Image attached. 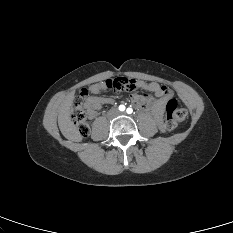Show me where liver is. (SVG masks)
Wrapping results in <instances>:
<instances>
[{
  "mask_svg": "<svg viewBox=\"0 0 233 233\" xmlns=\"http://www.w3.org/2000/svg\"><path fill=\"white\" fill-rule=\"evenodd\" d=\"M74 92L69 93L63 99L59 106V114H58V126L64 137L68 139H72L73 135L76 133V127L71 121V113L70 109L73 105L74 100Z\"/></svg>",
  "mask_w": 233,
  "mask_h": 233,
  "instance_id": "liver-1",
  "label": "liver"
}]
</instances>
